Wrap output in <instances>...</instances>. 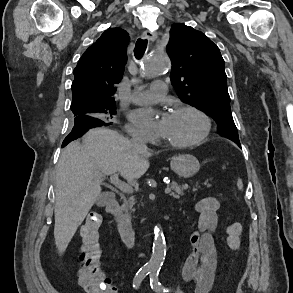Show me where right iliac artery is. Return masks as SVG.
<instances>
[{
    "label": "right iliac artery",
    "mask_w": 293,
    "mask_h": 293,
    "mask_svg": "<svg viewBox=\"0 0 293 293\" xmlns=\"http://www.w3.org/2000/svg\"><path fill=\"white\" fill-rule=\"evenodd\" d=\"M151 272V268L149 267H142L139 269V271L136 273L134 279H133V287L135 289L139 288L142 280Z\"/></svg>",
    "instance_id": "82829eb1"
}]
</instances>
